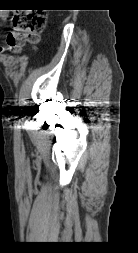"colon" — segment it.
Instances as JSON below:
<instances>
[{"label":"colon","mask_w":138,"mask_h":253,"mask_svg":"<svg viewBox=\"0 0 138 253\" xmlns=\"http://www.w3.org/2000/svg\"><path fill=\"white\" fill-rule=\"evenodd\" d=\"M46 26V15L36 11H17L11 18L7 44L15 51L26 42H36Z\"/></svg>","instance_id":"5ec220e1"}]
</instances>
